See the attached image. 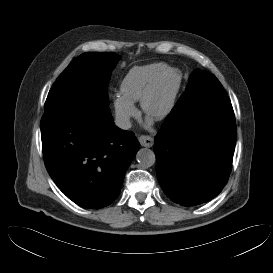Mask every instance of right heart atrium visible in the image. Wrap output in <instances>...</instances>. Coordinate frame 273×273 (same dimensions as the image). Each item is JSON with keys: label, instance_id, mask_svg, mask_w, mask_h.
Here are the masks:
<instances>
[{"label": "right heart atrium", "instance_id": "obj_1", "mask_svg": "<svg viewBox=\"0 0 273 273\" xmlns=\"http://www.w3.org/2000/svg\"><path fill=\"white\" fill-rule=\"evenodd\" d=\"M113 105L117 119L124 125L129 124L132 118L138 116V110L134 103L129 102L120 95L114 97Z\"/></svg>", "mask_w": 273, "mask_h": 273}]
</instances>
